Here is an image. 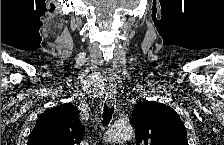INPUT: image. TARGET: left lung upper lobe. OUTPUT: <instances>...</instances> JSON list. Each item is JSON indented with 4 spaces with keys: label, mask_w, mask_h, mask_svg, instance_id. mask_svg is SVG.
<instances>
[{
    "label": "left lung upper lobe",
    "mask_w": 224,
    "mask_h": 145,
    "mask_svg": "<svg viewBox=\"0 0 224 145\" xmlns=\"http://www.w3.org/2000/svg\"><path fill=\"white\" fill-rule=\"evenodd\" d=\"M132 124L137 145H188L182 120L165 104L138 102L133 109Z\"/></svg>",
    "instance_id": "1"
}]
</instances>
